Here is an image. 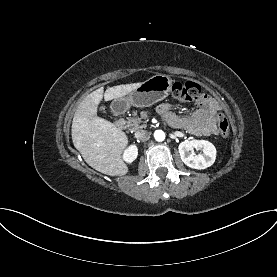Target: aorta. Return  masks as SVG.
I'll list each match as a JSON object with an SVG mask.
<instances>
[{"label":"aorta","mask_w":277,"mask_h":277,"mask_svg":"<svg viewBox=\"0 0 277 277\" xmlns=\"http://www.w3.org/2000/svg\"><path fill=\"white\" fill-rule=\"evenodd\" d=\"M154 138L156 141H163L165 139V133L162 130H156L154 132Z\"/></svg>","instance_id":"obj_1"}]
</instances>
